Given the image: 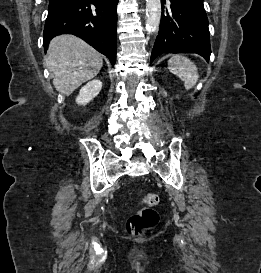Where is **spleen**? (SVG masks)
I'll return each mask as SVG.
<instances>
[{
	"mask_svg": "<svg viewBox=\"0 0 261 273\" xmlns=\"http://www.w3.org/2000/svg\"><path fill=\"white\" fill-rule=\"evenodd\" d=\"M168 69L184 82V86L187 90L192 89L198 81V69L187 57L174 55L168 61Z\"/></svg>",
	"mask_w": 261,
	"mask_h": 273,
	"instance_id": "obj_1",
	"label": "spleen"
}]
</instances>
